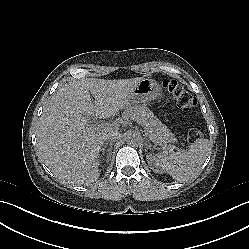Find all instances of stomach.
I'll return each instance as SVG.
<instances>
[{
  "mask_svg": "<svg viewBox=\"0 0 249 249\" xmlns=\"http://www.w3.org/2000/svg\"><path fill=\"white\" fill-rule=\"evenodd\" d=\"M163 98V90L153 79L145 78L135 85L129 103H148Z\"/></svg>",
  "mask_w": 249,
  "mask_h": 249,
  "instance_id": "0dacf381",
  "label": "stomach"
}]
</instances>
